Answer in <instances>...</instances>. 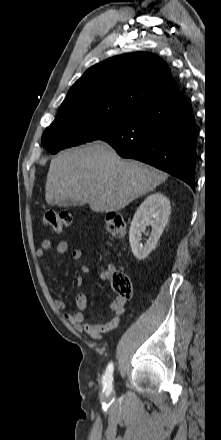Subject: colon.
I'll use <instances>...</instances> for the list:
<instances>
[{
  "label": "colon",
  "mask_w": 221,
  "mask_h": 440,
  "mask_svg": "<svg viewBox=\"0 0 221 440\" xmlns=\"http://www.w3.org/2000/svg\"><path fill=\"white\" fill-rule=\"evenodd\" d=\"M42 220L44 224L56 232H62L72 223V216L68 211L47 210ZM105 225L108 233L113 237H122L126 232V224L123 216L117 212H109L105 218ZM110 279L113 291L119 298L130 299L133 294L132 281L130 277L121 271L106 272Z\"/></svg>",
  "instance_id": "colon-1"
}]
</instances>
